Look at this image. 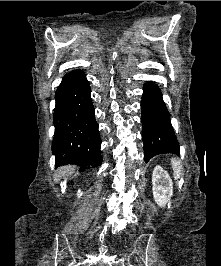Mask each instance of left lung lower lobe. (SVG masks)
Here are the masks:
<instances>
[{
  "mask_svg": "<svg viewBox=\"0 0 221 266\" xmlns=\"http://www.w3.org/2000/svg\"><path fill=\"white\" fill-rule=\"evenodd\" d=\"M143 90L141 121L145 162L147 163L158 154L174 153L179 155V143L160 89L150 81L144 85Z\"/></svg>",
  "mask_w": 221,
  "mask_h": 266,
  "instance_id": "0a47b994",
  "label": "left lung lower lobe"
}]
</instances>
